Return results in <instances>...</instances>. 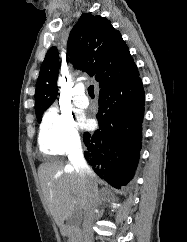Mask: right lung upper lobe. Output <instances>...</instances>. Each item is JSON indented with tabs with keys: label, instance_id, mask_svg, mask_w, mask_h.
Instances as JSON below:
<instances>
[{
	"label": "right lung upper lobe",
	"instance_id": "cb5924a9",
	"mask_svg": "<svg viewBox=\"0 0 187 242\" xmlns=\"http://www.w3.org/2000/svg\"><path fill=\"white\" fill-rule=\"evenodd\" d=\"M67 51L75 68L95 77L100 91L139 73L120 32L99 15H81L70 32ZM59 65L58 51L52 47L45 56L36 83V116L43 114L56 99Z\"/></svg>",
	"mask_w": 187,
	"mask_h": 242
}]
</instances>
